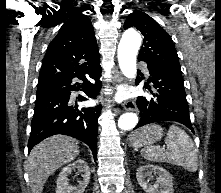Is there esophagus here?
I'll return each mask as SVG.
<instances>
[{
    "mask_svg": "<svg viewBox=\"0 0 221 193\" xmlns=\"http://www.w3.org/2000/svg\"><path fill=\"white\" fill-rule=\"evenodd\" d=\"M123 81H124V78L120 73H117L113 78L114 83H119ZM122 106L127 111L138 112V108L133 100H128V101L123 102Z\"/></svg>",
    "mask_w": 221,
    "mask_h": 193,
    "instance_id": "1",
    "label": "esophagus"
}]
</instances>
